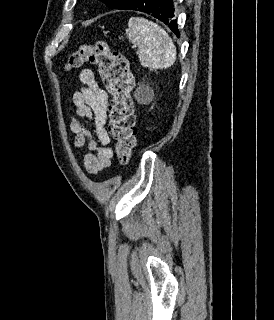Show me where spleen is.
<instances>
[{"label": "spleen", "mask_w": 274, "mask_h": 320, "mask_svg": "<svg viewBox=\"0 0 274 320\" xmlns=\"http://www.w3.org/2000/svg\"><path fill=\"white\" fill-rule=\"evenodd\" d=\"M126 38L138 46L141 66L149 70H165L176 60V48L165 30L145 18H130Z\"/></svg>", "instance_id": "obj_1"}]
</instances>
